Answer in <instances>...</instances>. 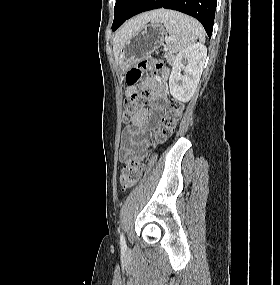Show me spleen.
I'll return each instance as SVG.
<instances>
[{"instance_id":"1","label":"spleen","mask_w":280,"mask_h":285,"mask_svg":"<svg viewBox=\"0 0 280 285\" xmlns=\"http://www.w3.org/2000/svg\"><path fill=\"white\" fill-rule=\"evenodd\" d=\"M152 22H161L170 35L168 48L171 53H177L193 45L197 39H205L202 25L192 17L176 11L165 9L157 10Z\"/></svg>"}]
</instances>
